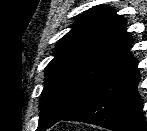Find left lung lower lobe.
<instances>
[{"instance_id":"1","label":"left lung lower lobe","mask_w":147,"mask_h":131,"mask_svg":"<svg viewBox=\"0 0 147 131\" xmlns=\"http://www.w3.org/2000/svg\"><path fill=\"white\" fill-rule=\"evenodd\" d=\"M138 61L131 56L108 76L65 121H78L112 131H146L143 102L137 91Z\"/></svg>"}]
</instances>
